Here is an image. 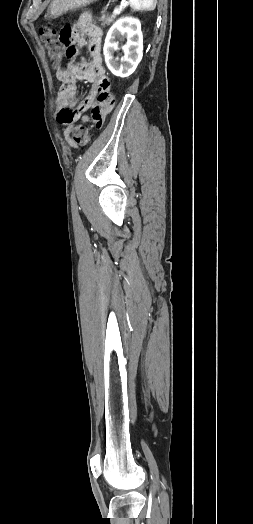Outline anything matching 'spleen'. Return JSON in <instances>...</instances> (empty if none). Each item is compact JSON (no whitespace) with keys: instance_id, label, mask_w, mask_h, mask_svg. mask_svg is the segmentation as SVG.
<instances>
[{"instance_id":"1","label":"spleen","mask_w":253,"mask_h":524,"mask_svg":"<svg viewBox=\"0 0 253 524\" xmlns=\"http://www.w3.org/2000/svg\"><path fill=\"white\" fill-rule=\"evenodd\" d=\"M130 7L135 11H152L156 7V0H130Z\"/></svg>"}]
</instances>
